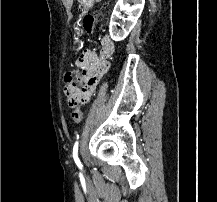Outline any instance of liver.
<instances>
[{"label": "liver", "mask_w": 217, "mask_h": 202, "mask_svg": "<svg viewBox=\"0 0 217 202\" xmlns=\"http://www.w3.org/2000/svg\"><path fill=\"white\" fill-rule=\"evenodd\" d=\"M62 2L66 8V12H68V14H69V12L71 10V6L73 4V0H62Z\"/></svg>", "instance_id": "6515ba94"}]
</instances>
